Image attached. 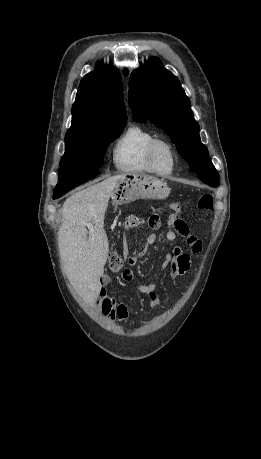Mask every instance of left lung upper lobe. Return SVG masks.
<instances>
[{
  "label": "left lung upper lobe",
  "instance_id": "1",
  "mask_svg": "<svg viewBox=\"0 0 261 459\" xmlns=\"http://www.w3.org/2000/svg\"><path fill=\"white\" fill-rule=\"evenodd\" d=\"M128 100L137 122L150 120L163 128L191 171L204 183L212 187L219 185V174L208 156V149L201 143L190 100L178 78L164 69L157 58L152 57L145 66L131 73Z\"/></svg>",
  "mask_w": 261,
  "mask_h": 459
}]
</instances>
